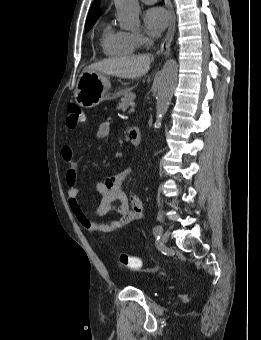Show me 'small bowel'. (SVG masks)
Instances as JSON below:
<instances>
[{
    "label": "small bowel",
    "mask_w": 261,
    "mask_h": 340,
    "mask_svg": "<svg viewBox=\"0 0 261 340\" xmlns=\"http://www.w3.org/2000/svg\"><path fill=\"white\" fill-rule=\"evenodd\" d=\"M110 132L111 123L109 120H105L97 126L96 136L104 139L110 135ZM61 156L64 162L70 165L66 172V180L69 186L68 202L73 214L84 229L95 233L116 232L142 216L143 205L141 199L137 195L128 197L121 189V184L132 172L131 168H126L95 185V191L101 197V200L94 211V215L97 217L106 215L111 210L113 203L118 202L117 213L119 218L112 221H94L85 212L79 200L76 172L73 166V148L69 145L63 146Z\"/></svg>",
    "instance_id": "1"
}]
</instances>
